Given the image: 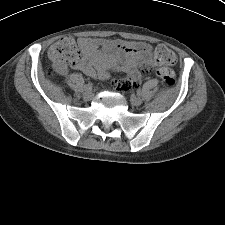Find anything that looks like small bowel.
<instances>
[{
    "instance_id": "small-bowel-1",
    "label": "small bowel",
    "mask_w": 225,
    "mask_h": 225,
    "mask_svg": "<svg viewBox=\"0 0 225 225\" xmlns=\"http://www.w3.org/2000/svg\"><path fill=\"white\" fill-rule=\"evenodd\" d=\"M77 44L79 52L70 67L101 80L110 79L112 75L110 70L114 68L128 76L135 73L139 56L151 54L149 49L137 50L125 43L104 42L103 49H99L100 43L79 38ZM68 68V65L59 64V70L62 73H66Z\"/></svg>"
}]
</instances>
